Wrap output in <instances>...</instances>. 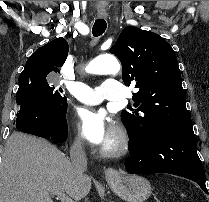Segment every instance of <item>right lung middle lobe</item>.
I'll return each mask as SVG.
<instances>
[{"label":"right lung middle lobe","instance_id":"1","mask_svg":"<svg viewBox=\"0 0 209 202\" xmlns=\"http://www.w3.org/2000/svg\"><path fill=\"white\" fill-rule=\"evenodd\" d=\"M20 92L27 93L30 100L36 105L50 112L66 115L67 99L63 96L62 89L49 82L48 74L32 73L19 76ZM16 102L20 106V102Z\"/></svg>","mask_w":209,"mask_h":202}]
</instances>
